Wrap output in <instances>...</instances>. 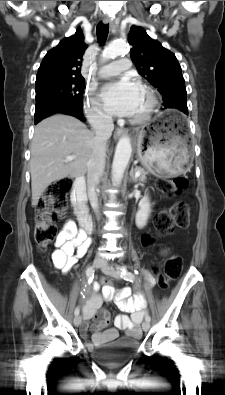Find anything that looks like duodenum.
<instances>
[{"mask_svg":"<svg viewBox=\"0 0 225 395\" xmlns=\"http://www.w3.org/2000/svg\"><path fill=\"white\" fill-rule=\"evenodd\" d=\"M71 201L80 226L87 233L92 232L93 222L86 205V182L83 177H77L75 179L71 193Z\"/></svg>","mask_w":225,"mask_h":395,"instance_id":"1","label":"duodenum"}]
</instances>
